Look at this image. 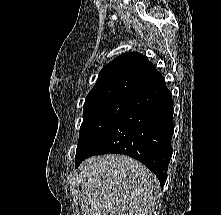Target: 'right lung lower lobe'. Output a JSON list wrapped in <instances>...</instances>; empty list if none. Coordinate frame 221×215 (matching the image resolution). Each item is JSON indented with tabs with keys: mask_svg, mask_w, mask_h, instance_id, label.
<instances>
[{
	"mask_svg": "<svg viewBox=\"0 0 221 215\" xmlns=\"http://www.w3.org/2000/svg\"><path fill=\"white\" fill-rule=\"evenodd\" d=\"M173 103L164 80L135 97L91 151L76 159L107 153L128 155L145 164L163 186L171 156Z\"/></svg>",
	"mask_w": 221,
	"mask_h": 215,
	"instance_id": "1",
	"label": "right lung lower lobe"
}]
</instances>
